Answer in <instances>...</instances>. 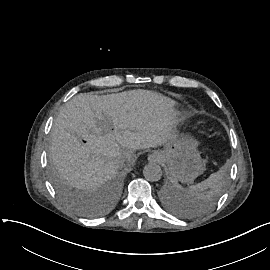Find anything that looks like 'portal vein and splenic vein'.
<instances>
[{"label":"portal vein and splenic vein","mask_w":270,"mask_h":270,"mask_svg":"<svg viewBox=\"0 0 270 270\" xmlns=\"http://www.w3.org/2000/svg\"><path fill=\"white\" fill-rule=\"evenodd\" d=\"M101 127H102V128H105V127H106V124H105V123H102V124H101Z\"/></svg>","instance_id":"obj_1"}]
</instances>
